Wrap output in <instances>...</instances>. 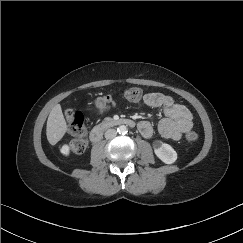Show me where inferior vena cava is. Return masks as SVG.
Wrapping results in <instances>:
<instances>
[{
    "mask_svg": "<svg viewBox=\"0 0 243 243\" xmlns=\"http://www.w3.org/2000/svg\"><path fill=\"white\" fill-rule=\"evenodd\" d=\"M116 135H117V131L115 129H108L105 132V138L106 139L114 138Z\"/></svg>",
    "mask_w": 243,
    "mask_h": 243,
    "instance_id": "obj_1",
    "label": "inferior vena cava"
}]
</instances>
